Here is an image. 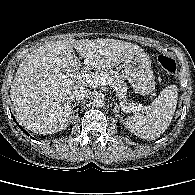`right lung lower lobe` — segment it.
<instances>
[{
	"mask_svg": "<svg viewBox=\"0 0 195 195\" xmlns=\"http://www.w3.org/2000/svg\"><path fill=\"white\" fill-rule=\"evenodd\" d=\"M14 119V121H15V118H13ZM16 122V121H15ZM19 126V125H18ZM20 127V126H19ZM21 128V127H20ZM21 130H23L22 128H21ZM24 131V133H26L27 134V132H25V130H23ZM28 135V134H27ZM29 136V135H28ZM33 139V138H32Z\"/></svg>",
	"mask_w": 195,
	"mask_h": 195,
	"instance_id": "1",
	"label": "right lung lower lobe"
}]
</instances>
